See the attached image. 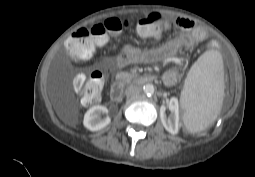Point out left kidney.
<instances>
[{"label":"left kidney","instance_id":"left-kidney-1","mask_svg":"<svg viewBox=\"0 0 255 177\" xmlns=\"http://www.w3.org/2000/svg\"><path fill=\"white\" fill-rule=\"evenodd\" d=\"M171 114L167 117L165 108L161 107L160 118L165 129L171 134H177L179 125V104L175 97H172L168 103Z\"/></svg>","mask_w":255,"mask_h":177}]
</instances>
